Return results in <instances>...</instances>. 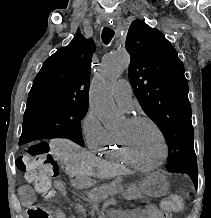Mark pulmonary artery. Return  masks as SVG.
<instances>
[{
	"instance_id": "e3ab8cb5",
	"label": "pulmonary artery",
	"mask_w": 211,
	"mask_h": 218,
	"mask_svg": "<svg viewBox=\"0 0 211 218\" xmlns=\"http://www.w3.org/2000/svg\"><path fill=\"white\" fill-rule=\"evenodd\" d=\"M128 84V80H119L114 86L115 100L126 110L132 108V89L130 86H125Z\"/></svg>"
}]
</instances>
